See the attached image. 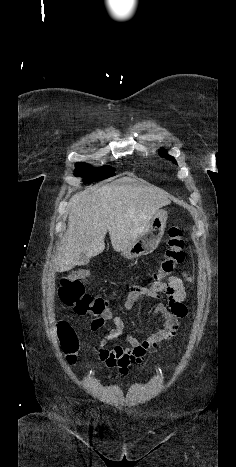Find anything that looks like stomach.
Instances as JSON below:
<instances>
[{"instance_id":"1","label":"stomach","mask_w":236,"mask_h":467,"mask_svg":"<svg viewBox=\"0 0 236 467\" xmlns=\"http://www.w3.org/2000/svg\"><path fill=\"white\" fill-rule=\"evenodd\" d=\"M166 221L167 212L165 210H158L147 224L145 230L131 246L121 251V255L126 259H134L153 252L164 234Z\"/></svg>"}]
</instances>
